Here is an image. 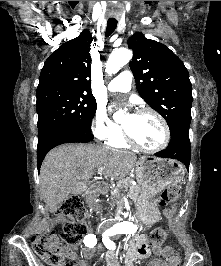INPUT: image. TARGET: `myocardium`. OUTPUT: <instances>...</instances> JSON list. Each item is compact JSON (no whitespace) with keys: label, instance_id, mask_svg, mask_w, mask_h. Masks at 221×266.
<instances>
[{"label":"myocardium","instance_id":"obj_1","mask_svg":"<svg viewBox=\"0 0 221 266\" xmlns=\"http://www.w3.org/2000/svg\"><path fill=\"white\" fill-rule=\"evenodd\" d=\"M144 113L152 114L160 122L163 129V139L161 143L155 147H145L140 143H138L134 139V137L130 134V132L124 126H122L124 139L126 140L127 144L145 153H155L161 151L168 145L170 140V129L168 123L159 112H157L152 108L144 107L136 112V114H144Z\"/></svg>","mask_w":221,"mask_h":266}]
</instances>
